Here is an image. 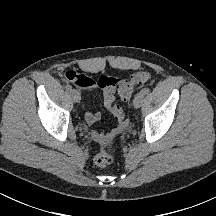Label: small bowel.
I'll return each mask as SVG.
<instances>
[{
    "label": "small bowel",
    "instance_id": "obj_1",
    "mask_svg": "<svg viewBox=\"0 0 216 216\" xmlns=\"http://www.w3.org/2000/svg\"><path fill=\"white\" fill-rule=\"evenodd\" d=\"M82 75V78L74 82L77 86H79L83 90H88V91H96L99 89L97 81H95L93 78ZM104 106L108 109L106 103L104 102ZM101 119V113L97 111H87L85 114V120L89 125H93L97 123ZM123 126L122 125H117L116 127L104 132L100 130H92L90 135L91 138L99 143H104L110 140L112 137L117 135L121 130Z\"/></svg>",
    "mask_w": 216,
    "mask_h": 216
}]
</instances>
